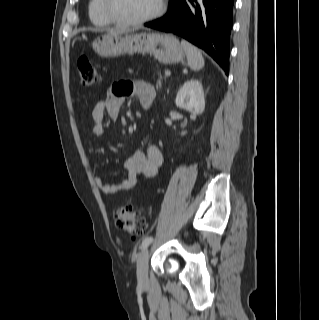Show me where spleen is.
<instances>
[{
  "label": "spleen",
  "instance_id": "3e777b00",
  "mask_svg": "<svg viewBox=\"0 0 319 320\" xmlns=\"http://www.w3.org/2000/svg\"><path fill=\"white\" fill-rule=\"evenodd\" d=\"M181 46L186 53L189 67L194 71L202 69L204 67V58L201 51L186 40L181 41Z\"/></svg>",
  "mask_w": 319,
  "mask_h": 320
}]
</instances>
